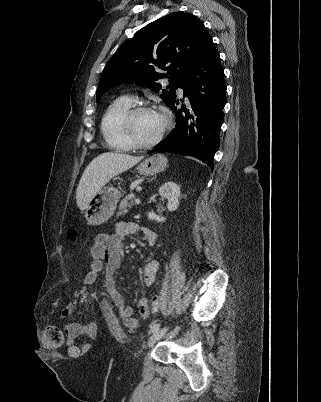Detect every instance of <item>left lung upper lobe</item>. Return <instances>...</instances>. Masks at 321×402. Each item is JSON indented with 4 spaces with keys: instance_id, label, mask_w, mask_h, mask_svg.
Wrapping results in <instances>:
<instances>
[{
    "instance_id": "5c2ea615",
    "label": "left lung upper lobe",
    "mask_w": 321,
    "mask_h": 402,
    "mask_svg": "<svg viewBox=\"0 0 321 402\" xmlns=\"http://www.w3.org/2000/svg\"><path fill=\"white\" fill-rule=\"evenodd\" d=\"M211 38L204 24L190 13L168 14L140 29L122 45L102 71L96 92L97 101L111 87L137 82L158 92L156 81L169 79L161 98L168 106L175 100V90ZM159 69L167 74L159 73Z\"/></svg>"
}]
</instances>
